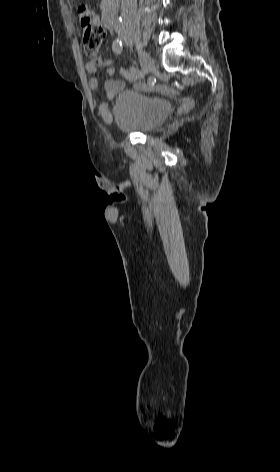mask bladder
Masks as SVG:
<instances>
[{"mask_svg": "<svg viewBox=\"0 0 280 472\" xmlns=\"http://www.w3.org/2000/svg\"><path fill=\"white\" fill-rule=\"evenodd\" d=\"M171 111L172 103L167 98L127 89L117 96L112 114L120 130L146 132L162 125Z\"/></svg>", "mask_w": 280, "mask_h": 472, "instance_id": "obj_1", "label": "bladder"}]
</instances>
